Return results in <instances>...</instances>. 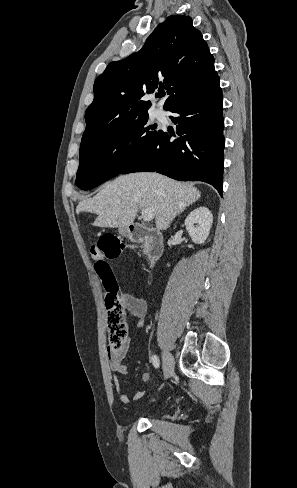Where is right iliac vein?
<instances>
[{
    "label": "right iliac vein",
    "mask_w": 297,
    "mask_h": 488,
    "mask_svg": "<svg viewBox=\"0 0 297 488\" xmlns=\"http://www.w3.org/2000/svg\"><path fill=\"white\" fill-rule=\"evenodd\" d=\"M174 370V358L172 354L164 350L163 351V375L164 379H167L170 377V375L173 373Z\"/></svg>",
    "instance_id": "63e3f726"
}]
</instances>
